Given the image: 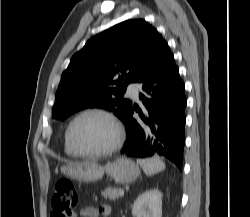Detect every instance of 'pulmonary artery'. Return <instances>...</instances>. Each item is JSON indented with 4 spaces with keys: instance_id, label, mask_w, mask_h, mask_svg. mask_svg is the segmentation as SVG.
Listing matches in <instances>:
<instances>
[{
    "instance_id": "e3ab8cb5",
    "label": "pulmonary artery",
    "mask_w": 250,
    "mask_h": 217,
    "mask_svg": "<svg viewBox=\"0 0 250 217\" xmlns=\"http://www.w3.org/2000/svg\"><path fill=\"white\" fill-rule=\"evenodd\" d=\"M127 95L130 96L131 98L137 100L138 99V93H139V85L136 83H130L127 86Z\"/></svg>"
}]
</instances>
